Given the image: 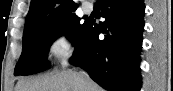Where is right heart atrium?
<instances>
[{
    "mask_svg": "<svg viewBox=\"0 0 173 91\" xmlns=\"http://www.w3.org/2000/svg\"><path fill=\"white\" fill-rule=\"evenodd\" d=\"M75 42L67 33L56 35L49 44V52L63 66L67 65L75 51Z\"/></svg>",
    "mask_w": 173,
    "mask_h": 91,
    "instance_id": "obj_1",
    "label": "right heart atrium"
}]
</instances>
